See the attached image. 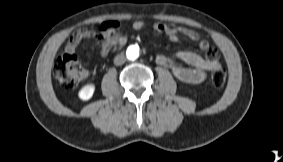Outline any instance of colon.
Masks as SVG:
<instances>
[{"instance_id":"colon-1","label":"colon","mask_w":283,"mask_h":162,"mask_svg":"<svg viewBox=\"0 0 283 162\" xmlns=\"http://www.w3.org/2000/svg\"><path fill=\"white\" fill-rule=\"evenodd\" d=\"M84 68L74 54H65L56 59L53 65V73L56 79L68 89L74 88L84 76ZM226 71L217 67L212 71L211 82L220 88L226 82Z\"/></svg>"}]
</instances>
